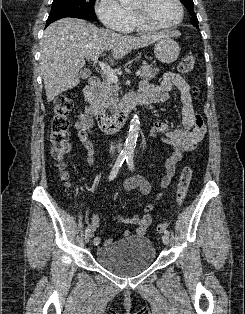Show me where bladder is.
Wrapping results in <instances>:
<instances>
[{
  "label": "bladder",
  "instance_id": "obj_1",
  "mask_svg": "<svg viewBox=\"0 0 245 314\" xmlns=\"http://www.w3.org/2000/svg\"><path fill=\"white\" fill-rule=\"evenodd\" d=\"M155 258V246L144 236H131L104 243L96 250L98 263L120 276H131L144 271Z\"/></svg>",
  "mask_w": 245,
  "mask_h": 314
}]
</instances>
